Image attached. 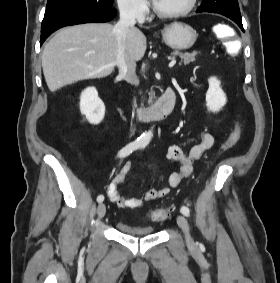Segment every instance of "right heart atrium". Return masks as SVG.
<instances>
[{"label": "right heart atrium", "instance_id": "d8ad5b80", "mask_svg": "<svg viewBox=\"0 0 280 283\" xmlns=\"http://www.w3.org/2000/svg\"><path fill=\"white\" fill-rule=\"evenodd\" d=\"M121 13L136 19L145 17L149 10L146 0H117Z\"/></svg>", "mask_w": 280, "mask_h": 283}]
</instances>
